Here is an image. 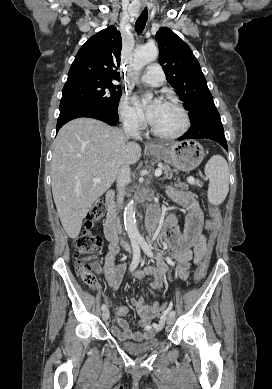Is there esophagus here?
Masks as SVG:
<instances>
[{
  "label": "esophagus",
  "instance_id": "esophagus-1",
  "mask_svg": "<svg viewBox=\"0 0 272 389\" xmlns=\"http://www.w3.org/2000/svg\"><path fill=\"white\" fill-rule=\"evenodd\" d=\"M146 147H148V148H156L157 146L154 144V143H152V142H147L146 144Z\"/></svg>",
  "mask_w": 272,
  "mask_h": 389
}]
</instances>
